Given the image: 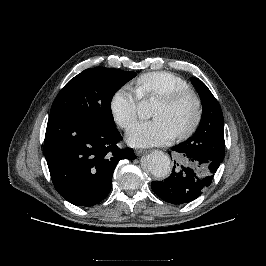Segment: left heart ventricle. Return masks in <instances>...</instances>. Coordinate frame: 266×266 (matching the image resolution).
<instances>
[{
  "instance_id": "1",
  "label": "left heart ventricle",
  "mask_w": 266,
  "mask_h": 266,
  "mask_svg": "<svg viewBox=\"0 0 266 266\" xmlns=\"http://www.w3.org/2000/svg\"><path fill=\"white\" fill-rule=\"evenodd\" d=\"M195 107L190 99H186L174 106H167L159 101L154 105L152 116L154 118H164L178 133L186 129L194 116Z\"/></svg>"
}]
</instances>
